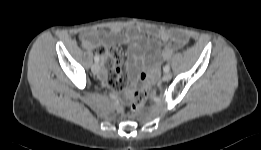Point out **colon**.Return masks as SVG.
I'll use <instances>...</instances> for the list:
<instances>
[{
  "label": "colon",
  "instance_id": "obj_1",
  "mask_svg": "<svg viewBox=\"0 0 261 150\" xmlns=\"http://www.w3.org/2000/svg\"><path fill=\"white\" fill-rule=\"evenodd\" d=\"M149 76L143 74L140 86L134 90L131 99V108L134 111L140 110L146 103L148 98Z\"/></svg>",
  "mask_w": 261,
  "mask_h": 150
}]
</instances>
